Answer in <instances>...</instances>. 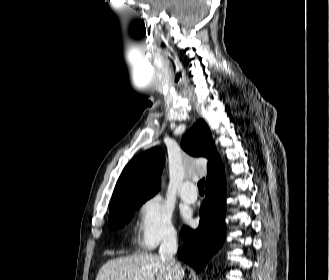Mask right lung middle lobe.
Returning a JSON list of instances; mask_svg holds the SVG:
<instances>
[{"mask_svg":"<svg viewBox=\"0 0 329 280\" xmlns=\"http://www.w3.org/2000/svg\"><path fill=\"white\" fill-rule=\"evenodd\" d=\"M149 198L135 199L123 202L112 211H110L109 222L122 227L124 223L129 222L133 216V211L140 207Z\"/></svg>","mask_w":329,"mask_h":280,"instance_id":"obj_1","label":"right lung middle lobe"}]
</instances>
